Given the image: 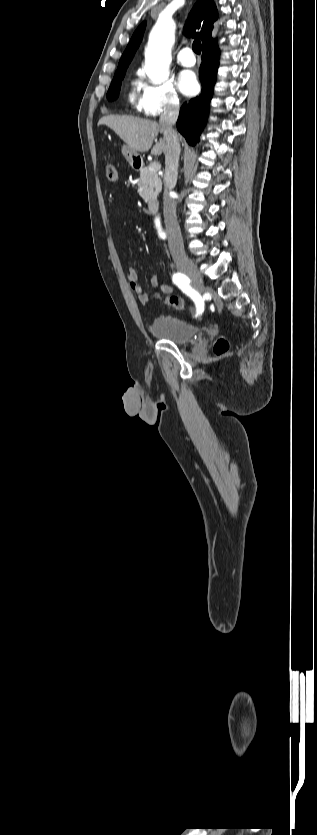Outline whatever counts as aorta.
I'll return each instance as SVG.
<instances>
[{
    "label": "aorta",
    "mask_w": 317,
    "mask_h": 835,
    "mask_svg": "<svg viewBox=\"0 0 317 835\" xmlns=\"http://www.w3.org/2000/svg\"><path fill=\"white\" fill-rule=\"evenodd\" d=\"M175 41L173 20L159 19L150 32L145 49V72L154 84H162L169 78L171 49Z\"/></svg>",
    "instance_id": "762f6f07"
}]
</instances>
